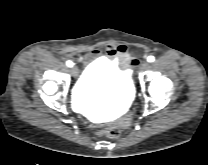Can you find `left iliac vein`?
Listing matches in <instances>:
<instances>
[{"mask_svg": "<svg viewBox=\"0 0 208 165\" xmlns=\"http://www.w3.org/2000/svg\"><path fill=\"white\" fill-rule=\"evenodd\" d=\"M148 68H149L148 61H146V60L142 61V63L140 64V70L143 71V70H146Z\"/></svg>", "mask_w": 208, "mask_h": 165, "instance_id": "4c4485c4", "label": "left iliac vein"}]
</instances>
